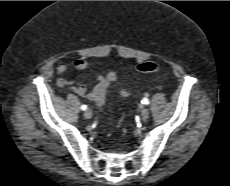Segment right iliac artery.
<instances>
[{
	"label": "right iliac artery",
	"instance_id": "right-iliac-artery-1",
	"mask_svg": "<svg viewBox=\"0 0 230 186\" xmlns=\"http://www.w3.org/2000/svg\"><path fill=\"white\" fill-rule=\"evenodd\" d=\"M81 109H82V110H86V109H87V105H82V106H81Z\"/></svg>",
	"mask_w": 230,
	"mask_h": 186
}]
</instances>
